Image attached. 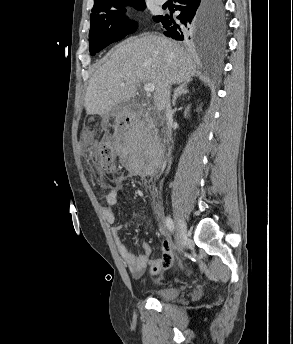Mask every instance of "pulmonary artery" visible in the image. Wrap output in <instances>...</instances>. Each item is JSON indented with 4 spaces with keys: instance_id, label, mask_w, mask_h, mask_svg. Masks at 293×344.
Instances as JSON below:
<instances>
[{
    "instance_id": "pulmonary-artery-1",
    "label": "pulmonary artery",
    "mask_w": 293,
    "mask_h": 344,
    "mask_svg": "<svg viewBox=\"0 0 293 344\" xmlns=\"http://www.w3.org/2000/svg\"><path fill=\"white\" fill-rule=\"evenodd\" d=\"M158 4H164L167 0H155Z\"/></svg>"
}]
</instances>
